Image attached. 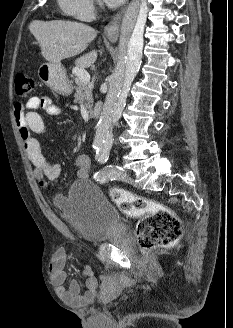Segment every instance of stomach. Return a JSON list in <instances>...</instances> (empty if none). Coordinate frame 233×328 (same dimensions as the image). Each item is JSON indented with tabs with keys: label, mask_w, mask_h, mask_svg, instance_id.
I'll list each match as a JSON object with an SVG mask.
<instances>
[{
	"label": "stomach",
	"mask_w": 233,
	"mask_h": 328,
	"mask_svg": "<svg viewBox=\"0 0 233 328\" xmlns=\"http://www.w3.org/2000/svg\"><path fill=\"white\" fill-rule=\"evenodd\" d=\"M38 76L50 89L62 95H70L72 87L60 63H44L38 69Z\"/></svg>",
	"instance_id": "0dacf381"
}]
</instances>
